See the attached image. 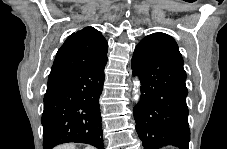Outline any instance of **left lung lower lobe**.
<instances>
[{
    "label": "left lung lower lobe",
    "mask_w": 227,
    "mask_h": 149,
    "mask_svg": "<svg viewBox=\"0 0 227 149\" xmlns=\"http://www.w3.org/2000/svg\"><path fill=\"white\" fill-rule=\"evenodd\" d=\"M131 67L142 85L134 118L144 149H189L186 72L175 40L160 32L146 36L135 48Z\"/></svg>",
    "instance_id": "1"
}]
</instances>
